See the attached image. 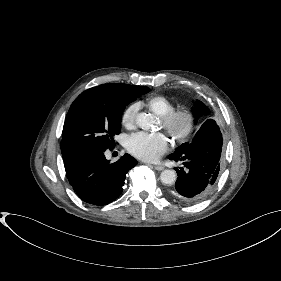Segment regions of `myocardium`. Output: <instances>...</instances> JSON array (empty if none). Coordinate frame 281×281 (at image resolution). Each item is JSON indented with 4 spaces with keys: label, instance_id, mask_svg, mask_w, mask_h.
<instances>
[{
    "label": "myocardium",
    "instance_id": "myocardium-1",
    "mask_svg": "<svg viewBox=\"0 0 281 281\" xmlns=\"http://www.w3.org/2000/svg\"><path fill=\"white\" fill-rule=\"evenodd\" d=\"M163 129L169 134L174 142L180 143L186 140L194 130L195 116L188 108L174 109L160 117ZM181 122V127L177 124Z\"/></svg>",
    "mask_w": 281,
    "mask_h": 281
}]
</instances>
